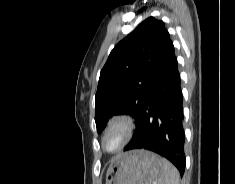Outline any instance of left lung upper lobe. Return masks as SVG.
I'll return each instance as SVG.
<instances>
[{"label": "left lung upper lobe", "mask_w": 235, "mask_h": 184, "mask_svg": "<svg viewBox=\"0 0 235 184\" xmlns=\"http://www.w3.org/2000/svg\"><path fill=\"white\" fill-rule=\"evenodd\" d=\"M168 37L164 22L149 17L111 51L96 92L98 133L113 115L126 114L138 120Z\"/></svg>", "instance_id": "obj_1"}]
</instances>
